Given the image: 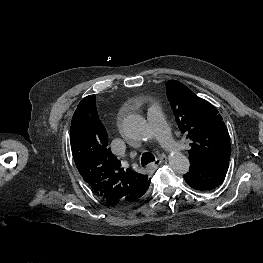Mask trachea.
I'll return each mask as SVG.
<instances>
[{
    "label": "trachea",
    "mask_w": 263,
    "mask_h": 263,
    "mask_svg": "<svg viewBox=\"0 0 263 263\" xmlns=\"http://www.w3.org/2000/svg\"><path fill=\"white\" fill-rule=\"evenodd\" d=\"M155 161V157L153 154L149 152H145L141 157V164L142 166L147 165L148 163Z\"/></svg>",
    "instance_id": "obj_1"
}]
</instances>
